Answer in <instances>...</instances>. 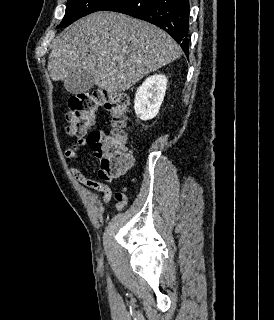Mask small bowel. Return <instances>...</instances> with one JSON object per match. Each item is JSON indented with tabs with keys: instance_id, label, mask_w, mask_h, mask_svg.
<instances>
[{
	"instance_id": "obj_1",
	"label": "small bowel",
	"mask_w": 274,
	"mask_h": 320,
	"mask_svg": "<svg viewBox=\"0 0 274 320\" xmlns=\"http://www.w3.org/2000/svg\"><path fill=\"white\" fill-rule=\"evenodd\" d=\"M88 124L90 125V129H93V125L95 124V121L93 119H90L88 121ZM86 145H89L86 138L77 139L68 149L65 150L66 159L71 160V161L77 160L79 157V154H80V149ZM94 152L98 157L103 156V154L99 151L94 150ZM129 161H133V157L130 155H129ZM128 169H130V168H123L122 174L124 172H126ZM70 173L78 183H80L81 185H83L87 189L102 193V197H101L102 204H107L111 200L113 193H112L111 188L107 184L100 182V181H96V180L87 178L78 168L73 167V166L70 167ZM98 177L102 180H105L104 172H102L100 170L98 172ZM115 198L117 201V203H116V210L117 211L123 209L127 205V202H128L127 197H116L115 196Z\"/></svg>"
}]
</instances>
